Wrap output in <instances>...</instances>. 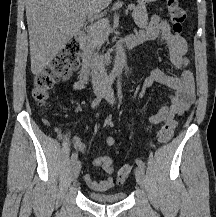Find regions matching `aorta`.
<instances>
[{
    "instance_id": "1",
    "label": "aorta",
    "mask_w": 216,
    "mask_h": 217,
    "mask_svg": "<svg viewBox=\"0 0 216 217\" xmlns=\"http://www.w3.org/2000/svg\"><path fill=\"white\" fill-rule=\"evenodd\" d=\"M125 65V53L122 44L118 41L116 43V53L114 66L111 71L112 75L121 76Z\"/></svg>"
}]
</instances>
